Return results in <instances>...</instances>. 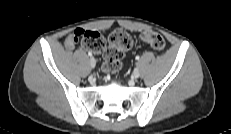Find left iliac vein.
<instances>
[{
  "label": "left iliac vein",
  "mask_w": 231,
  "mask_h": 134,
  "mask_svg": "<svg viewBox=\"0 0 231 134\" xmlns=\"http://www.w3.org/2000/svg\"><path fill=\"white\" fill-rule=\"evenodd\" d=\"M139 76H140V71H139L138 68H136V69L133 71L132 77H133L134 79H137V78H139Z\"/></svg>",
  "instance_id": "4c4485c4"
}]
</instances>
